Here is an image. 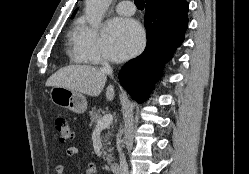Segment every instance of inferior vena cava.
Returning a JSON list of instances; mask_svg holds the SVG:
<instances>
[{"instance_id": "1", "label": "inferior vena cava", "mask_w": 249, "mask_h": 174, "mask_svg": "<svg viewBox=\"0 0 249 174\" xmlns=\"http://www.w3.org/2000/svg\"><path fill=\"white\" fill-rule=\"evenodd\" d=\"M101 70L106 73L111 75L112 74V67L108 63H102V68ZM119 158H120V174H129L128 172V164L126 161V158L124 156V153L122 152V149L119 147Z\"/></svg>"}]
</instances>
